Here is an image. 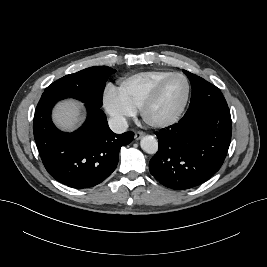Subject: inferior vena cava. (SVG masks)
Here are the masks:
<instances>
[{"label": "inferior vena cava", "mask_w": 267, "mask_h": 267, "mask_svg": "<svg viewBox=\"0 0 267 267\" xmlns=\"http://www.w3.org/2000/svg\"><path fill=\"white\" fill-rule=\"evenodd\" d=\"M108 124H109L110 129L114 133L121 134V133L126 132L128 129V123L123 116H115V117L110 118L108 120Z\"/></svg>", "instance_id": "602c4592"}]
</instances>
